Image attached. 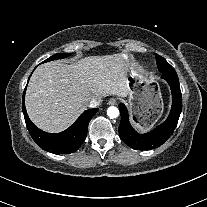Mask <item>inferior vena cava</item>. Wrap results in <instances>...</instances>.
Returning a JSON list of instances; mask_svg holds the SVG:
<instances>
[{"label":"inferior vena cava","mask_w":207,"mask_h":207,"mask_svg":"<svg viewBox=\"0 0 207 207\" xmlns=\"http://www.w3.org/2000/svg\"><path fill=\"white\" fill-rule=\"evenodd\" d=\"M102 100L101 98H92L89 103H88V107L90 108H96L101 104Z\"/></svg>","instance_id":"inferior-vena-cava-1"}]
</instances>
